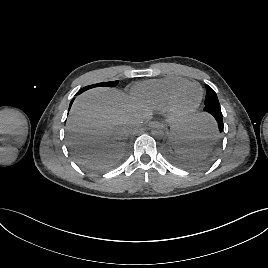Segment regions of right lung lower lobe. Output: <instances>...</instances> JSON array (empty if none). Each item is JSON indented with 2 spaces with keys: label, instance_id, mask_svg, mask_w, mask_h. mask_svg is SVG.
I'll list each match as a JSON object with an SVG mask.
<instances>
[{
  "label": "right lung lower lobe",
  "instance_id": "obj_1",
  "mask_svg": "<svg viewBox=\"0 0 268 268\" xmlns=\"http://www.w3.org/2000/svg\"><path fill=\"white\" fill-rule=\"evenodd\" d=\"M82 92H83V91H82V89H81V90H79V91L76 93V95H78V94H80V93H82ZM72 103H73V100H72L71 103H70V107H71Z\"/></svg>",
  "mask_w": 268,
  "mask_h": 268
}]
</instances>
